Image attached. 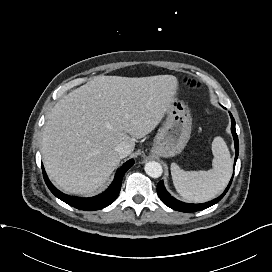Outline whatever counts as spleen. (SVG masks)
Here are the masks:
<instances>
[{
    "instance_id": "1",
    "label": "spleen",
    "mask_w": 272,
    "mask_h": 272,
    "mask_svg": "<svg viewBox=\"0 0 272 272\" xmlns=\"http://www.w3.org/2000/svg\"><path fill=\"white\" fill-rule=\"evenodd\" d=\"M214 155L212 166L208 171H188L180 169L176 163L171 164V175L177 192L187 201L206 202L221 193L228 184L233 162L229 149L221 137L212 142Z\"/></svg>"
}]
</instances>
